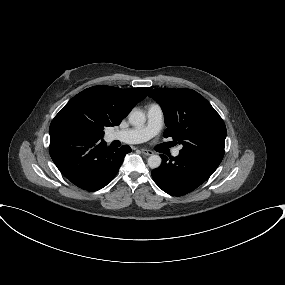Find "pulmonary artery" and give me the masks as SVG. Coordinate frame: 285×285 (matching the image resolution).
Returning <instances> with one entry per match:
<instances>
[{
	"mask_svg": "<svg viewBox=\"0 0 285 285\" xmlns=\"http://www.w3.org/2000/svg\"><path fill=\"white\" fill-rule=\"evenodd\" d=\"M163 125V110L160 105L153 103L147 107V122L143 126L130 129L112 131L108 134L109 141H120L128 144H137L147 141L156 135ZM181 147L173 150V156L180 154Z\"/></svg>",
	"mask_w": 285,
	"mask_h": 285,
	"instance_id": "obj_1",
	"label": "pulmonary artery"
}]
</instances>
